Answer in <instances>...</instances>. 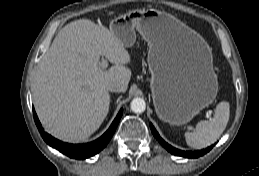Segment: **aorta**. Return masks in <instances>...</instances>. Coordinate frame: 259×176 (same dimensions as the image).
Instances as JSON below:
<instances>
[{
  "label": "aorta",
  "mask_w": 259,
  "mask_h": 176,
  "mask_svg": "<svg viewBox=\"0 0 259 176\" xmlns=\"http://www.w3.org/2000/svg\"><path fill=\"white\" fill-rule=\"evenodd\" d=\"M131 110L134 113H142L146 109V103L142 98H134L130 103Z\"/></svg>",
  "instance_id": "1"
}]
</instances>
